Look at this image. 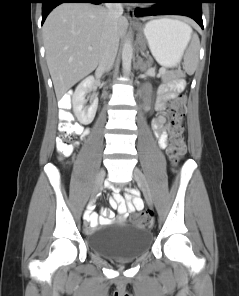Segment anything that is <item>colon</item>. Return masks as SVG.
I'll return each mask as SVG.
<instances>
[{"instance_id":"obj_1","label":"colon","mask_w":239,"mask_h":296,"mask_svg":"<svg viewBox=\"0 0 239 296\" xmlns=\"http://www.w3.org/2000/svg\"><path fill=\"white\" fill-rule=\"evenodd\" d=\"M166 115L170 122L168 155L172 164L176 165L185 154L183 136V119L185 116V98L179 94L167 107ZM59 136L56 147L62 156L72 153L75 141L81 131V127L73 122L72 114L68 107H63L59 112L58 124ZM151 214L143 209L133 216V221L140 225H147L150 222Z\"/></svg>"}]
</instances>
